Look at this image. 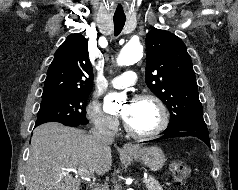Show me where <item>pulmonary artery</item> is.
<instances>
[{"mask_svg":"<svg viewBox=\"0 0 238 190\" xmlns=\"http://www.w3.org/2000/svg\"><path fill=\"white\" fill-rule=\"evenodd\" d=\"M137 75L134 71H125L122 75L112 81V86L116 89H124L136 83Z\"/></svg>","mask_w":238,"mask_h":190,"instance_id":"pulmonary-artery-1","label":"pulmonary artery"}]
</instances>
